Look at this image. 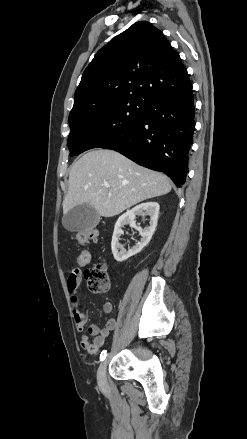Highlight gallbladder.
<instances>
[{
	"label": "gallbladder",
	"instance_id": "gallbladder-1",
	"mask_svg": "<svg viewBox=\"0 0 247 439\" xmlns=\"http://www.w3.org/2000/svg\"><path fill=\"white\" fill-rule=\"evenodd\" d=\"M100 221V215L90 204L77 205L64 214L63 227L71 232L93 229Z\"/></svg>",
	"mask_w": 247,
	"mask_h": 439
}]
</instances>
